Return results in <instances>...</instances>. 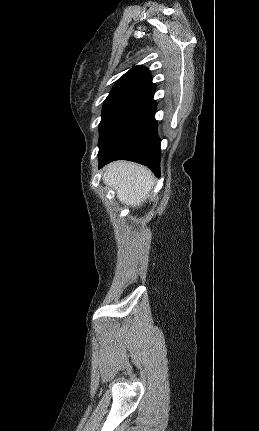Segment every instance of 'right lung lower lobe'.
Listing matches in <instances>:
<instances>
[{
  "label": "right lung lower lobe",
  "mask_w": 259,
  "mask_h": 431,
  "mask_svg": "<svg viewBox=\"0 0 259 431\" xmlns=\"http://www.w3.org/2000/svg\"><path fill=\"white\" fill-rule=\"evenodd\" d=\"M153 94L135 105L99 145V168L119 159L138 162L160 176V138Z\"/></svg>",
  "instance_id": "right-lung-lower-lobe-1"
}]
</instances>
